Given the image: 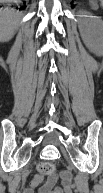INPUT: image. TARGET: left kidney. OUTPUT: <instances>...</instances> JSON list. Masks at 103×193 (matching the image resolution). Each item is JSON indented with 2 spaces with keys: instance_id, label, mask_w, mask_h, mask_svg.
Instances as JSON below:
<instances>
[{
  "instance_id": "5707ae66",
  "label": "left kidney",
  "mask_w": 103,
  "mask_h": 193,
  "mask_svg": "<svg viewBox=\"0 0 103 193\" xmlns=\"http://www.w3.org/2000/svg\"><path fill=\"white\" fill-rule=\"evenodd\" d=\"M80 33L84 43L95 53L94 47L101 45L102 42V22L95 17L84 19L80 26Z\"/></svg>"
}]
</instances>
